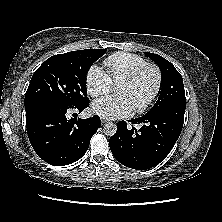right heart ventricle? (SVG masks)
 <instances>
[{
    "label": "right heart ventricle",
    "instance_id": "e07e8e85",
    "mask_svg": "<svg viewBox=\"0 0 222 222\" xmlns=\"http://www.w3.org/2000/svg\"><path fill=\"white\" fill-rule=\"evenodd\" d=\"M145 64L147 61L142 57L124 52L115 53L104 61L107 73L115 85Z\"/></svg>",
    "mask_w": 222,
    "mask_h": 222
}]
</instances>
